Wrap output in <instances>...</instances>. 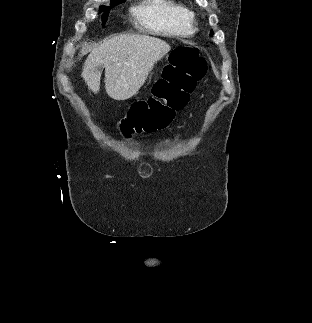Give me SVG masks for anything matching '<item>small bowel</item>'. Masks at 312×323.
I'll list each match as a JSON object with an SVG mask.
<instances>
[{"label":"small bowel","mask_w":312,"mask_h":323,"mask_svg":"<svg viewBox=\"0 0 312 323\" xmlns=\"http://www.w3.org/2000/svg\"><path fill=\"white\" fill-rule=\"evenodd\" d=\"M169 132H171V131H173V127H169ZM179 139H180V133L179 132H177L176 134H175V138H174V140L176 141V142H178L179 141ZM165 144H169L170 142H171V139L170 138H166L165 139Z\"/></svg>","instance_id":"c3829d8e"}]
</instances>
